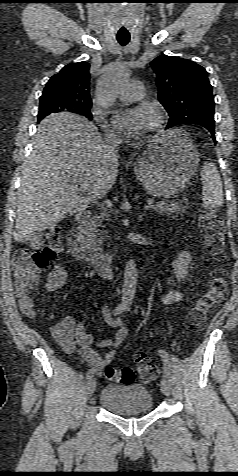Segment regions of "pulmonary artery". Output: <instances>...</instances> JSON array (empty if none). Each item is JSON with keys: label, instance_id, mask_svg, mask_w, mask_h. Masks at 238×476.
Segmentation results:
<instances>
[{"label": "pulmonary artery", "instance_id": "1", "mask_svg": "<svg viewBox=\"0 0 238 476\" xmlns=\"http://www.w3.org/2000/svg\"><path fill=\"white\" fill-rule=\"evenodd\" d=\"M144 96V85L139 80L128 81L119 93V99L123 102H133Z\"/></svg>", "mask_w": 238, "mask_h": 476}]
</instances>
